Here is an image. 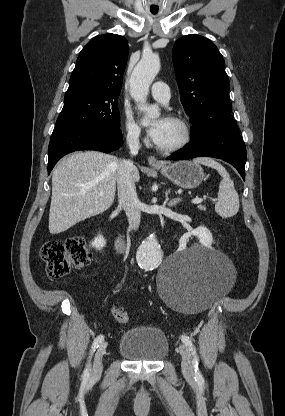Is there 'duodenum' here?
Here are the masks:
<instances>
[{
    "mask_svg": "<svg viewBox=\"0 0 285 416\" xmlns=\"http://www.w3.org/2000/svg\"><path fill=\"white\" fill-rule=\"evenodd\" d=\"M115 247L117 252L124 256L129 248L128 239L122 233H118L115 237Z\"/></svg>",
    "mask_w": 285,
    "mask_h": 416,
    "instance_id": "obj_1",
    "label": "duodenum"
}]
</instances>
